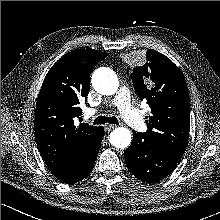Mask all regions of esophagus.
I'll return each mask as SVG.
<instances>
[{
  "label": "esophagus",
  "mask_w": 220,
  "mask_h": 220,
  "mask_svg": "<svg viewBox=\"0 0 220 220\" xmlns=\"http://www.w3.org/2000/svg\"><path fill=\"white\" fill-rule=\"evenodd\" d=\"M116 127V125H112V124H107L105 126L106 131H111L112 129H114Z\"/></svg>",
  "instance_id": "1"
}]
</instances>
